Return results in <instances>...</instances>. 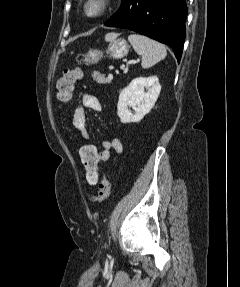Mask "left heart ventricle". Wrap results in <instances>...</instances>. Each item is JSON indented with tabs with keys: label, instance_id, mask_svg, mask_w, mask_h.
I'll list each match as a JSON object with an SVG mask.
<instances>
[{
	"label": "left heart ventricle",
	"instance_id": "b2bd125f",
	"mask_svg": "<svg viewBox=\"0 0 240 287\" xmlns=\"http://www.w3.org/2000/svg\"><path fill=\"white\" fill-rule=\"evenodd\" d=\"M90 12H95L97 10V5L96 4H92L89 7Z\"/></svg>",
	"mask_w": 240,
	"mask_h": 287
}]
</instances>
